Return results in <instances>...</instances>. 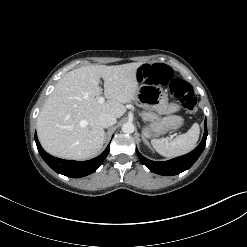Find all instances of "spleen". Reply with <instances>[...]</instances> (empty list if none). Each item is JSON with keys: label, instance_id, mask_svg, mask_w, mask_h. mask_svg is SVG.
<instances>
[{"label": "spleen", "instance_id": "1", "mask_svg": "<svg viewBox=\"0 0 247 247\" xmlns=\"http://www.w3.org/2000/svg\"><path fill=\"white\" fill-rule=\"evenodd\" d=\"M199 134V125L194 123L186 133L177 136L173 140L153 139L151 144L160 155L168 158L177 157L195 148Z\"/></svg>", "mask_w": 247, "mask_h": 247}]
</instances>
